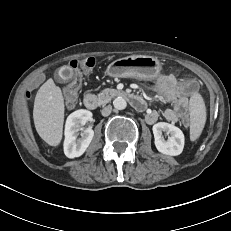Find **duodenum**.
<instances>
[{
    "label": "duodenum",
    "mask_w": 231,
    "mask_h": 231,
    "mask_svg": "<svg viewBox=\"0 0 231 231\" xmlns=\"http://www.w3.org/2000/svg\"><path fill=\"white\" fill-rule=\"evenodd\" d=\"M109 95L113 97H122L125 98L133 108L137 111H144L146 108L145 100L137 94H134L130 91L123 90V89H111L109 91ZM84 105L88 110H95L98 105L99 101L98 98L94 94H86L84 96Z\"/></svg>",
    "instance_id": "duodenum-1"
}]
</instances>
